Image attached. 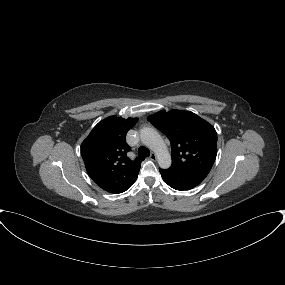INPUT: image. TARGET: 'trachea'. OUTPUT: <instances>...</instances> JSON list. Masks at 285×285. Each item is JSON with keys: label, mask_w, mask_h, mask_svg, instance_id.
Wrapping results in <instances>:
<instances>
[{"label": "trachea", "mask_w": 285, "mask_h": 285, "mask_svg": "<svg viewBox=\"0 0 285 285\" xmlns=\"http://www.w3.org/2000/svg\"><path fill=\"white\" fill-rule=\"evenodd\" d=\"M138 155H139V157H149L150 152L146 147L141 146L138 149Z\"/></svg>", "instance_id": "1"}]
</instances>
